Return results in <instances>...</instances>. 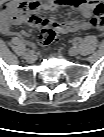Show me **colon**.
I'll list each match as a JSON object with an SVG mask.
<instances>
[{
	"label": "colon",
	"mask_w": 104,
	"mask_h": 137,
	"mask_svg": "<svg viewBox=\"0 0 104 137\" xmlns=\"http://www.w3.org/2000/svg\"><path fill=\"white\" fill-rule=\"evenodd\" d=\"M33 22H41L43 21V15L37 14L32 17L31 19ZM57 37V30L52 27H43L41 28L40 35H39V43L43 46L48 45L52 41L55 40Z\"/></svg>",
	"instance_id": "colon-1"
}]
</instances>
